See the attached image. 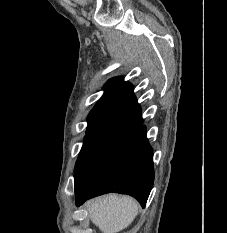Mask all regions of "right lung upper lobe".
Wrapping results in <instances>:
<instances>
[{
    "label": "right lung upper lobe",
    "mask_w": 227,
    "mask_h": 233,
    "mask_svg": "<svg viewBox=\"0 0 227 233\" xmlns=\"http://www.w3.org/2000/svg\"><path fill=\"white\" fill-rule=\"evenodd\" d=\"M104 90V95L89 113L87 134L121 137L142 124L141 110L130 83L115 77L106 83Z\"/></svg>",
    "instance_id": "cb5924a9"
}]
</instances>
